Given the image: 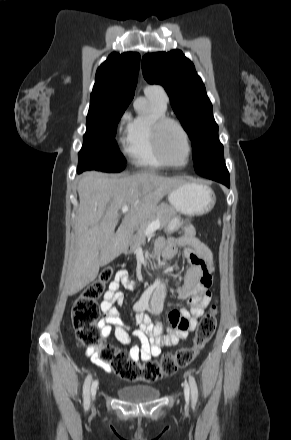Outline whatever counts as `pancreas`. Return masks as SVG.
<instances>
[{"label": "pancreas", "mask_w": 291, "mask_h": 440, "mask_svg": "<svg viewBox=\"0 0 291 440\" xmlns=\"http://www.w3.org/2000/svg\"><path fill=\"white\" fill-rule=\"evenodd\" d=\"M175 215L176 210L172 206L166 203L157 206L151 216L137 227L136 234L131 238L130 251H135L136 247L145 241V231L151 222L159 220L160 226L164 228Z\"/></svg>", "instance_id": "pancreas-1"}]
</instances>
